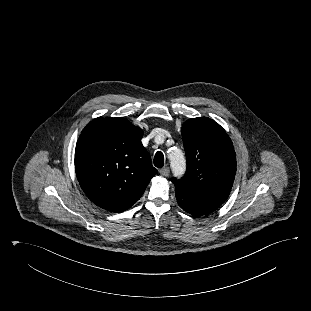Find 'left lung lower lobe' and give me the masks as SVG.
<instances>
[{"instance_id":"left-lung-lower-lobe-1","label":"left lung lower lobe","mask_w":311,"mask_h":311,"mask_svg":"<svg viewBox=\"0 0 311 311\" xmlns=\"http://www.w3.org/2000/svg\"><path fill=\"white\" fill-rule=\"evenodd\" d=\"M179 206L194 216H202L211 213L220 207V204L192 197L178 189H175Z\"/></svg>"}]
</instances>
